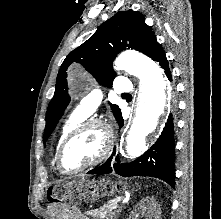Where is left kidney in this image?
<instances>
[{
    "label": "left kidney",
    "instance_id": "1",
    "mask_svg": "<svg viewBox=\"0 0 221 219\" xmlns=\"http://www.w3.org/2000/svg\"><path fill=\"white\" fill-rule=\"evenodd\" d=\"M140 215L146 219H160V209L153 197H147L140 201L132 211L130 218L138 219Z\"/></svg>",
    "mask_w": 221,
    "mask_h": 219
}]
</instances>
